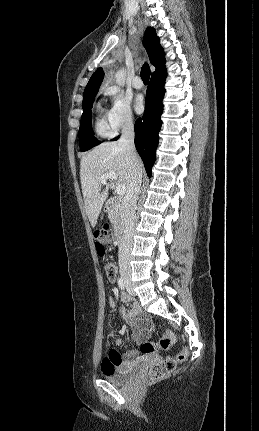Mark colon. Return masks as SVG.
Listing matches in <instances>:
<instances>
[{"mask_svg": "<svg viewBox=\"0 0 259 431\" xmlns=\"http://www.w3.org/2000/svg\"><path fill=\"white\" fill-rule=\"evenodd\" d=\"M96 238V248L99 255L103 256L106 252V249L112 245V239L110 236V230L108 226H105L103 229L99 230L95 234ZM107 278L110 281H114L117 274V267L112 262H107L104 267ZM176 340L175 335L167 330L160 340L158 344L153 343H143L140 346V351L143 354H149L156 352L157 350H167ZM187 357V350L183 349L176 358L168 357L158 364L154 365L147 373V376L150 380L156 381L166 377L170 372H172L176 366L177 362H181L185 360Z\"/></svg>", "mask_w": 259, "mask_h": 431, "instance_id": "1", "label": "colon"}]
</instances>
